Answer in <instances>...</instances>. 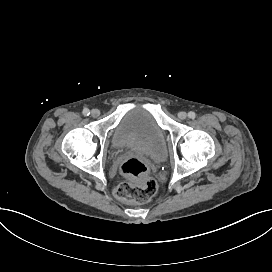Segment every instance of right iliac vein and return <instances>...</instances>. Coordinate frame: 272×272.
I'll list each match as a JSON object with an SVG mask.
<instances>
[{
  "label": "right iliac vein",
  "instance_id": "obj_1",
  "mask_svg": "<svg viewBox=\"0 0 272 272\" xmlns=\"http://www.w3.org/2000/svg\"><path fill=\"white\" fill-rule=\"evenodd\" d=\"M100 115V111L98 109H93L91 111V116L98 117Z\"/></svg>",
  "mask_w": 272,
  "mask_h": 272
}]
</instances>
